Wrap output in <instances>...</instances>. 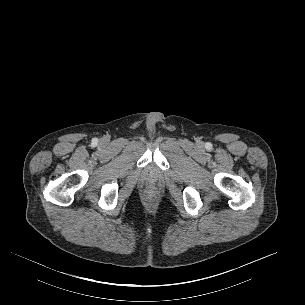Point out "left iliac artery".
Returning a JSON list of instances; mask_svg holds the SVG:
<instances>
[{"label": "left iliac artery", "mask_w": 305, "mask_h": 305, "mask_svg": "<svg viewBox=\"0 0 305 305\" xmlns=\"http://www.w3.org/2000/svg\"><path fill=\"white\" fill-rule=\"evenodd\" d=\"M211 146V144L210 143H208V147H210Z\"/></svg>", "instance_id": "44dca946"}]
</instances>
